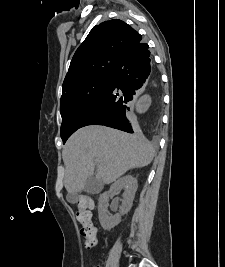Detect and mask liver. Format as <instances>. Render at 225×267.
I'll list each match as a JSON object with an SVG mask.
<instances>
[{"label":"liver","instance_id":"1","mask_svg":"<svg viewBox=\"0 0 225 267\" xmlns=\"http://www.w3.org/2000/svg\"><path fill=\"white\" fill-rule=\"evenodd\" d=\"M154 155L152 145L141 133L128 134L99 125L80 128L63 148L65 188L68 193L84 190L95 167L97 178L109 184L132 168L149 165Z\"/></svg>","mask_w":225,"mask_h":267}]
</instances>
